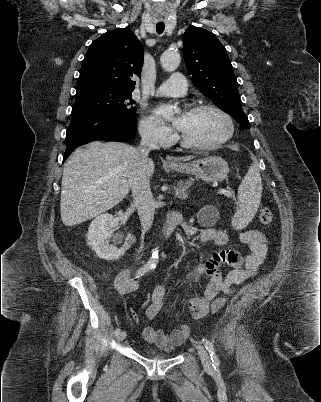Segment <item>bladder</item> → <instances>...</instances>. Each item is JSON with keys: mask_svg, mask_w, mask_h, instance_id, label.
<instances>
[{"mask_svg": "<svg viewBox=\"0 0 321 402\" xmlns=\"http://www.w3.org/2000/svg\"><path fill=\"white\" fill-rule=\"evenodd\" d=\"M146 354L150 357L154 358H168L171 356V353H167L155 348H149L146 350Z\"/></svg>", "mask_w": 321, "mask_h": 402, "instance_id": "1", "label": "bladder"}]
</instances>
